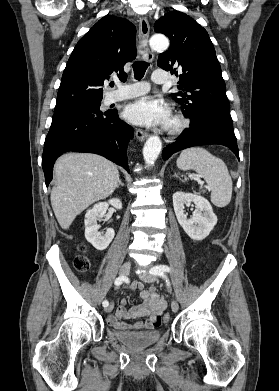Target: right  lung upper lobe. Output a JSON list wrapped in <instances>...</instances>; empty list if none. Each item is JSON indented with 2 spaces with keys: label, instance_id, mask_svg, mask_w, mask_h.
<instances>
[{
  "label": "right lung upper lobe",
  "instance_id": "right-lung-upper-lobe-1",
  "mask_svg": "<svg viewBox=\"0 0 279 391\" xmlns=\"http://www.w3.org/2000/svg\"><path fill=\"white\" fill-rule=\"evenodd\" d=\"M135 27L111 15L100 19L76 44L63 72L54 110L100 101L111 75L126 79L123 70L136 56Z\"/></svg>",
  "mask_w": 279,
  "mask_h": 391
}]
</instances>
